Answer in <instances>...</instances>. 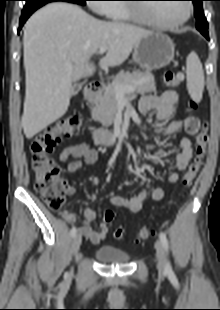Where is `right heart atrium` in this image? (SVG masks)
Returning a JSON list of instances; mask_svg holds the SVG:
<instances>
[{"label": "right heart atrium", "mask_w": 220, "mask_h": 310, "mask_svg": "<svg viewBox=\"0 0 220 310\" xmlns=\"http://www.w3.org/2000/svg\"><path fill=\"white\" fill-rule=\"evenodd\" d=\"M92 1H105V0H92ZM108 5L106 4H93L92 5V8L97 11V12H100L102 14H104V10L105 8H107Z\"/></svg>", "instance_id": "d8ad5b80"}]
</instances>
